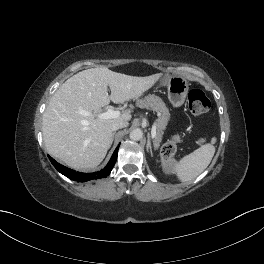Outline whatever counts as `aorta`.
I'll use <instances>...</instances> for the list:
<instances>
[{
    "label": "aorta",
    "mask_w": 264,
    "mask_h": 264,
    "mask_svg": "<svg viewBox=\"0 0 264 264\" xmlns=\"http://www.w3.org/2000/svg\"><path fill=\"white\" fill-rule=\"evenodd\" d=\"M143 136V132L141 129H134L130 132V139L134 140V141H139L142 139Z\"/></svg>",
    "instance_id": "obj_1"
}]
</instances>
